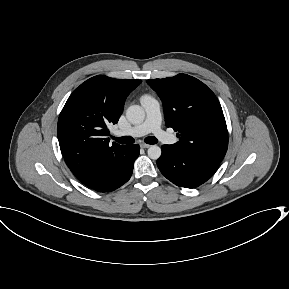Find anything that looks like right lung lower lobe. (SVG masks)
I'll use <instances>...</instances> for the list:
<instances>
[{"instance_id": "98d812e1", "label": "right lung lower lobe", "mask_w": 289, "mask_h": 289, "mask_svg": "<svg viewBox=\"0 0 289 289\" xmlns=\"http://www.w3.org/2000/svg\"><path fill=\"white\" fill-rule=\"evenodd\" d=\"M139 150L140 147L137 144L127 145L106 178L102 182L88 187L98 192H109L122 186L132 175L134 161L139 155Z\"/></svg>"}]
</instances>
